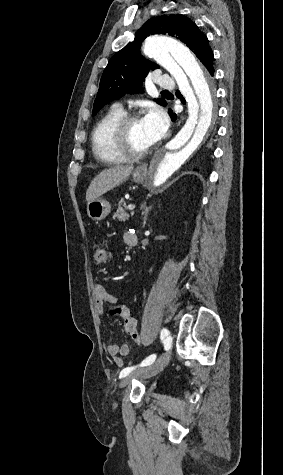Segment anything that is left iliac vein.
I'll return each mask as SVG.
<instances>
[{
  "instance_id": "1",
  "label": "left iliac vein",
  "mask_w": 283,
  "mask_h": 475,
  "mask_svg": "<svg viewBox=\"0 0 283 475\" xmlns=\"http://www.w3.org/2000/svg\"><path fill=\"white\" fill-rule=\"evenodd\" d=\"M171 341H172V337L168 336L166 338V342H168V344L170 345ZM170 358H171V355L168 351L163 353L148 367L125 376L119 383V387L121 389L125 388L132 382L134 378L147 379L159 374L168 365Z\"/></svg>"
}]
</instances>
